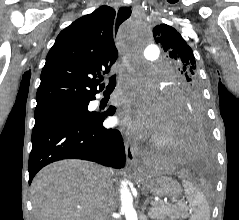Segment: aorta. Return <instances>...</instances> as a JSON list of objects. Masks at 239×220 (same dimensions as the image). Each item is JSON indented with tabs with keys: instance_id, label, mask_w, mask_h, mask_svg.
Listing matches in <instances>:
<instances>
[{
	"instance_id": "obj_1",
	"label": "aorta",
	"mask_w": 239,
	"mask_h": 220,
	"mask_svg": "<svg viewBox=\"0 0 239 220\" xmlns=\"http://www.w3.org/2000/svg\"><path fill=\"white\" fill-rule=\"evenodd\" d=\"M123 40H142L141 33H124ZM124 46H144L146 52L145 61H158L157 48L152 45H124ZM128 181L123 180L120 188L121 210L125 214L126 220H138L137 212L133 206V197L127 188Z\"/></svg>"
}]
</instances>
